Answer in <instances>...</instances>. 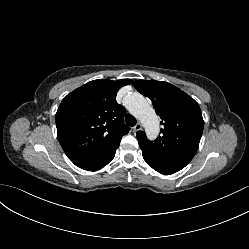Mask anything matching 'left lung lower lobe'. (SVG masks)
I'll return each instance as SVG.
<instances>
[{
    "label": "left lung lower lobe",
    "mask_w": 249,
    "mask_h": 249,
    "mask_svg": "<svg viewBox=\"0 0 249 249\" xmlns=\"http://www.w3.org/2000/svg\"><path fill=\"white\" fill-rule=\"evenodd\" d=\"M143 158L150 167H152L157 172L161 174H165V175L176 173L185 167V166L178 165V164L154 160L146 156H143Z\"/></svg>",
    "instance_id": "0a47b994"
}]
</instances>
